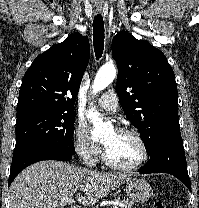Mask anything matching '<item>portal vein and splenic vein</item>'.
<instances>
[{"instance_id": "18ae733b", "label": "portal vein and splenic vein", "mask_w": 199, "mask_h": 208, "mask_svg": "<svg viewBox=\"0 0 199 208\" xmlns=\"http://www.w3.org/2000/svg\"><path fill=\"white\" fill-rule=\"evenodd\" d=\"M74 203V199L73 198H70V199H67L65 202H62V207L66 204H73ZM75 208V207H73ZM113 208H118V207H113Z\"/></svg>"}]
</instances>
